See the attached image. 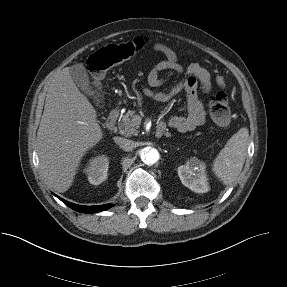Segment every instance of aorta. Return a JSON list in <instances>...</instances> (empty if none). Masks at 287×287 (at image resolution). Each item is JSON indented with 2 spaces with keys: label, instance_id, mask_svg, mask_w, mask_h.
Here are the masks:
<instances>
[{
  "label": "aorta",
  "instance_id": "obj_1",
  "mask_svg": "<svg viewBox=\"0 0 287 287\" xmlns=\"http://www.w3.org/2000/svg\"><path fill=\"white\" fill-rule=\"evenodd\" d=\"M141 160L147 165H153L159 160V152L152 147H145L140 151Z\"/></svg>",
  "mask_w": 287,
  "mask_h": 287
}]
</instances>
